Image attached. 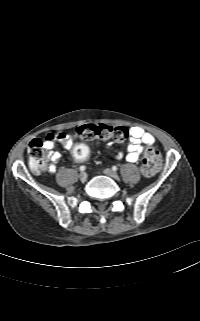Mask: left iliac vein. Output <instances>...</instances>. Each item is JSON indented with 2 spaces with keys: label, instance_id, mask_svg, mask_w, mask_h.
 Segmentation results:
<instances>
[{
  "label": "left iliac vein",
  "instance_id": "left-iliac-vein-1",
  "mask_svg": "<svg viewBox=\"0 0 200 321\" xmlns=\"http://www.w3.org/2000/svg\"><path fill=\"white\" fill-rule=\"evenodd\" d=\"M103 172L105 175H107L113 179H118V174L112 169L107 168Z\"/></svg>",
  "mask_w": 200,
  "mask_h": 321
}]
</instances>
